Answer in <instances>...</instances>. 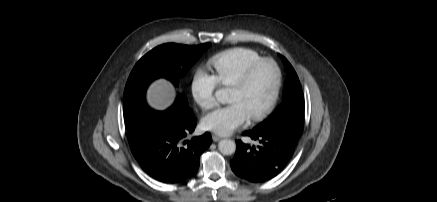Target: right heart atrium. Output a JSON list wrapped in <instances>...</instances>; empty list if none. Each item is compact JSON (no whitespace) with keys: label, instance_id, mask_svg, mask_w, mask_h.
Listing matches in <instances>:
<instances>
[{"label":"right heart atrium","instance_id":"d8ad5b80","mask_svg":"<svg viewBox=\"0 0 437 202\" xmlns=\"http://www.w3.org/2000/svg\"><path fill=\"white\" fill-rule=\"evenodd\" d=\"M219 82L214 74L207 72L203 67L195 70L191 81V95L193 100L203 109L212 108L215 103V91Z\"/></svg>","mask_w":437,"mask_h":202}]
</instances>
